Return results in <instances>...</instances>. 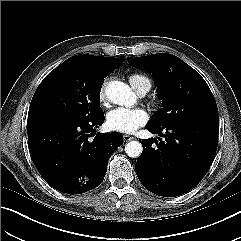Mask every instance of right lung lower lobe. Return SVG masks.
<instances>
[{
  "instance_id": "98d812e1",
  "label": "right lung lower lobe",
  "mask_w": 241,
  "mask_h": 241,
  "mask_svg": "<svg viewBox=\"0 0 241 241\" xmlns=\"http://www.w3.org/2000/svg\"><path fill=\"white\" fill-rule=\"evenodd\" d=\"M104 114L90 120L44 117L27 122L32 160L43 179L67 194H81L98 187L114 150L123 144L122 134L95 133Z\"/></svg>"
}]
</instances>
